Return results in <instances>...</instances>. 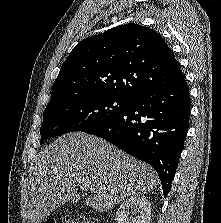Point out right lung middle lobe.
I'll return each mask as SVG.
<instances>
[{
	"instance_id": "1",
	"label": "right lung middle lobe",
	"mask_w": 221,
	"mask_h": 223,
	"mask_svg": "<svg viewBox=\"0 0 221 223\" xmlns=\"http://www.w3.org/2000/svg\"><path fill=\"white\" fill-rule=\"evenodd\" d=\"M131 99L112 95H79L49 103L40 129L46 139L73 131H87L121 114Z\"/></svg>"
}]
</instances>
